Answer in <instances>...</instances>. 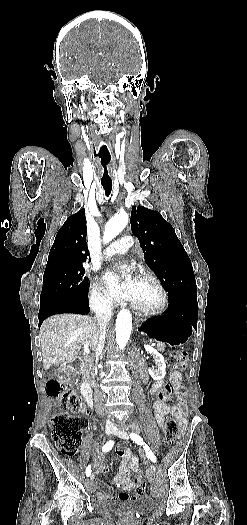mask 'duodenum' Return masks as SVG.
<instances>
[{
	"label": "duodenum",
	"instance_id": "410a0bca",
	"mask_svg": "<svg viewBox=\"0 0 247 525\" xmlns=\"http://www.w3.org/2000/svg\"><path fill=\"white\" fill-rule=\"evenodd\" d=\"M69 367L73 375L81 376L80 389H81L82 395L88 407L93 408L94 406L93 391H92L90 383L83 378L85 368H86L84 360L82 358H77L70 363Z\"/></svg>",
	"mask_w": 247,
	"mask_h": 525
}]
</instances>
